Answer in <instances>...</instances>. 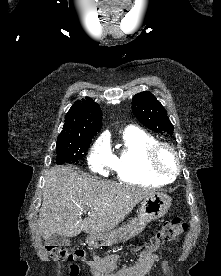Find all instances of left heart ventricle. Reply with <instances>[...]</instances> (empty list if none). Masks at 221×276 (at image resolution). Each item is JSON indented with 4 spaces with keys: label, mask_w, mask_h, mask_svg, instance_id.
<instances>
[{
    "label": "left heart ventricle",
    "mask_w": 221,
    "mask_h": 276,
    "mask_svg": "<svg viewBox=\"0 0 221 276\" xmlns=\"http://www.w3.org/2000/svg\"><path fill=\"white\" fill-rule=\"evenodd\" d=\"M161 163L163 166L167 168H173L174 167V158L173 156L166 150H164L161 153Z\"/></svg>",
    "instance_id": "1"
}]
</instances>
